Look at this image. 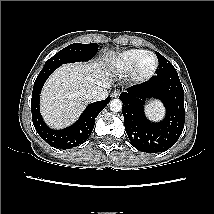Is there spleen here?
<instances>
[{"label": "spleen", "instance_id": "3e777b00", "mask_svg": "<svg viewBox=\"0 0 214 214\" xmlns=\"http://www.w3.org/2000/svg\"><path fill=\"white\" fill-rule=\"evenodd\" d=\"M147 112L152 117H160L162 113L160 104H157V103L149 104V106L147 107Z\"/></svg>", "mask_w": 214, "mask_h": 214}]
</instances>
